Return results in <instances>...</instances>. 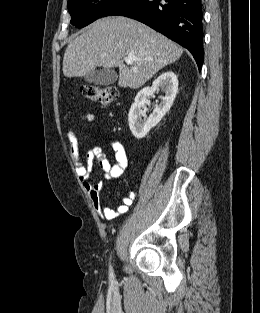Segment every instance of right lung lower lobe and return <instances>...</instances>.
<instances>
[{
    "instance_id": "right-lung-lower-lobe-1",
    "label": "right lung lower lobe",
    "mask_w": 260,
    "mask_h": 313,
    "mask_svg": "<svg viewBox=\"0 0 260 313\" xmlns=\"http://www.w3.org/2000/svg\"><path fill=\"white\" fill-rule=\"evenodd\" d=\"M136 19L187 48L199 70L204 60L201 0H120L105 16Z\"/></svg>"
}]
</instances>
